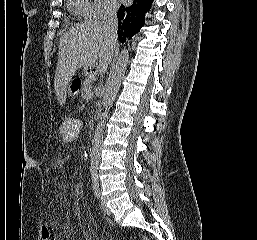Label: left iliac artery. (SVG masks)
<instances>
[{
	"label": "left iliac artery",
	"instance_id": "left-iliac-artery-1",
	"mask_svg": "<svg viewBox=\"0 0 257 240\" xmlns=\"http://www.w3.org/2000/svg\"><path fill=\"white\" fill-rule=\"evenodd\" d=\"M92 187H93L95 196L97 198H99V196H100V189H99V183L96 180L93 181Z\"/></svg>",
	"mask_w": 257,
	"mask_h": 240
}]
</instances>
